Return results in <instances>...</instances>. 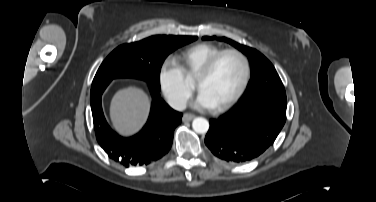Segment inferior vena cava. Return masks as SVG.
I'll list each match as a JSON object with an SVG mask.
<instances>
[{
	"mask_svg": "<svg viewBox=\"0 0 376 202\" xmlns=\"http://www.w3.org/2000/svg\"><path fill=\"white\" fill-rule=\"evenodd\" d=\"M168 104L175 110L183 111L186 109L187 100L183 97H170L168 98Z\"/></svg>",
	"mask_w": 376,
	"mask_h": 202,
	"instance_id": "1",
	"label": "inferior vena cava"
}]
</instances>
